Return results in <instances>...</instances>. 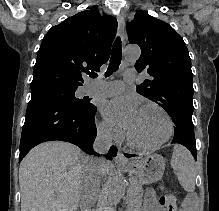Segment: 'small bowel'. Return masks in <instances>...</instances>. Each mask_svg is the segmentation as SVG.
<instances>
[{
    "label": "small bowel",
    "mask_w": 219,
    "mask_h": 211,
    "mask_svg": "<svg viewBox=\"0 0 219 211\" xmlns=\"http://www.w3.org/2000/svg\"><path fill=\"white\" fill-rule=\"evenodd\" d=\"M195 208V198L189 195L185 198L181 205L180 211H194ZM142 211H166L159 207L156 194L153 190H149L145 196V203Z\"/></svg>",
    "instance_id": "1"
}]
</instances>
